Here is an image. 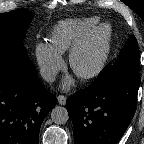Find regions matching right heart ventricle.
<instances>
[{
    "label": "right heart ventricle",
    "instance_id": "e07e8e85",
    "mask_svg": "<svg viewBox=\"0 0 144 144\" xmlns=\"http://www.w3.org/2000/svg\"><path fill=\"white\" fill-rule=\"evenodd\" d=\"M98 24L99 19L96 17L60 21L53 27L49 35L50 44L62 54Z\"/></svg>",
    "mask_w": 144,
    "mask_h": 144
}]
</instances>
